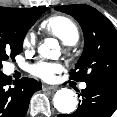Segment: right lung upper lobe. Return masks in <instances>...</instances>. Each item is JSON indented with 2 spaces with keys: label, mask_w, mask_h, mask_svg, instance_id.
I'll list each match as a JSON object with an SVG mask.
<instances>
[{
  "label": "right lung upper lobe",
  "mask_w": 117,
  "mask_h": 117,
  "mask_svg": "<svg viewBox=\"0 0 117 117\" xmlns=\"http://www.w3.org/2000/svg\"><path fill=\"white\" fill-rule=\"evenodd\" d=\"M12 9H15V10H18V11H22V12H26V11L31 10L32 8H29V9H16V8H12Z\"/></svg>",
  "instance_id": "right-lung-upper-lobe-1"
}]
</instances>
